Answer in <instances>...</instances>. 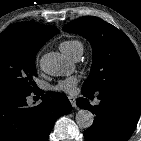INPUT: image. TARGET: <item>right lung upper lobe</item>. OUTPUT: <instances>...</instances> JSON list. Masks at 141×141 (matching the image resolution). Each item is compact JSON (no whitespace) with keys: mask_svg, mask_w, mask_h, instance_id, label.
Instances as JSON below:
<instances>
[{"mask_svg":"<svg viewBox=\"0 0 141 141\" xmlns=\"http://www.w3.org/2000/svg\"><path fill=\"white\" fill-rule=\"evenodd\" d=\"M59 30L53 26H45L37 24L33 21L20 22L10 25L0 36L16 35L33 39L34 41L44 45V43L52 38Z\"/></svg>","mask_w":141,"mask_h":141,"instance_id":"right-lung-upper-lobe-1","label":"right lung upper lobe"}]
</instances>
